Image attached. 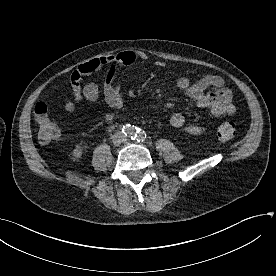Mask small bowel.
I'll use <instances>...</instances> for the list:
<instances>
[{
    "label": "small bowel",
    "mask_w": 276,
    "mask_h": 276,
    "mask_svg": "<svg viewBox=\"0 0 276 276\" xmlns=\"http://www.w3.org/2000/svg\"><path fill=\"white\" fill-rule=\"evenodd\" d=\"M148 55L143 51L128 50L91 59L80 64L72 73L70 88L76 102L83 99L89 102H97L100 98V91L96 83L88 82L83 87L81 79L93 72L106 69V77L103 87V95L106 104L111 109H118L123 104V99L118 87L113 85V79L118 66H131L138 60H147ZM156 66L164 67L163 61H157ZM178 88L191 98L198 107L209 109L215 116L231 115L235 112L232 103V94L226 87L224 80L219 75H205L196 82L182 77L177 82ZM170 124L191 135H200L206 131L204 126L186 125L185 116L175 112L170 117Z\"/></svg>",
    "instance_id": "small-bowel-1"
}]
</instances>
